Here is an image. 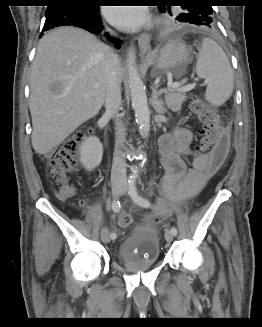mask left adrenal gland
Instances as JSON below:
<instances>
[{
  "mask_svg": "<svg viewBox=\"0 0 262 327\" xmlns=\"http://www.w3.org/2000/svg\"><path fill=\"white\" fill-rule=\"evenodd\" d=\"M151 104L153 109L157 113L164 114L166 112V109L164 108V102L161 99H159V94L157 92V89L152 90Z\"/></svg>",
  "mask_w": 262,
  "mask_h": 327,
  "instance_id": "a2214340",
  "label": "left adrenal gland"
}]
</instances>
